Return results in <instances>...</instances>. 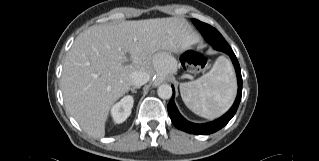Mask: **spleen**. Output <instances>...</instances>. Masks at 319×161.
Listing matches in <instances>:
<instances>
[{
	"mask_svg": "<svg viewBox=\"0 0 319 161\" xmlns=\"http://www.w3.org/2000/svg\"><path fill=\"white\" fill-rule=\"evenodd\" d=\"M182 100L195 114L212 119L222 115L236 94V80L229 60L219 57L212 69L195 81L180 85Z\"/></svg>",
	"mask_w": 319,
	"mask_h": 161,
	"instance_id": "obj_1",
	"label": "spleen"
}]
</instances>
